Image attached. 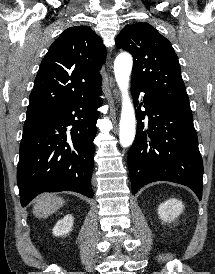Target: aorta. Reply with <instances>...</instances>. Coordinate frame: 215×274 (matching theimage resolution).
Listing matches in <instances>:
<instances>
[{
  "mask_svg": "<svg viewBox=\"0 0 215 274\" xmlns=\"http://www.w3.org/2000/svg\"><path fill=\"white\" fill-rule=\"evenodd\" d=\"M133 60L130 54L121 53L114 62V73L117 84L122 93V110L120 119V144L123 147L130 146L135 137V112L128 95L129 77Z\"/></svg>",
  "mask_w": 215,
  "mask_h": 274,
  "instance_id": "aorta-1",
  "label": "aorta"
}]
</instances>
